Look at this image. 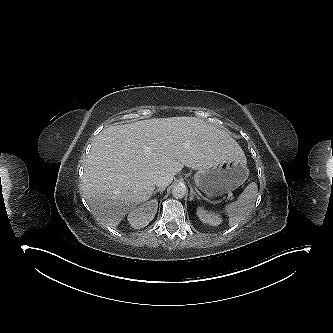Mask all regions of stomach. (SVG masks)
Listing matches in <instances>:
<instances>
[{
	"label": "stomach",
	"mask_w": 333,
	"mask_h": 333,
	"mask_svg": "<svg viewBox=\"0 0 333 333\" xmlns=\"http://www.w3.org/2000/svg\"><path fill=\"white\" fill-rule=\"evenodd\" d=\"M248 175L246 159H236L198 170L194 181L202 192L219 196L237 189L247 180Z\"/></svg>",
	"instance_id": "obj_1"
}]
</instances>
